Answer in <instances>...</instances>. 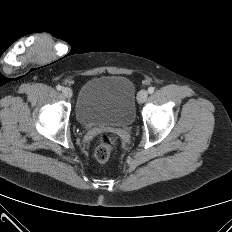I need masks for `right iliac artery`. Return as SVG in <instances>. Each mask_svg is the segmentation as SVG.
Here are the masks:
<instances>
[{
    "mask_svg": "<svg viewBox=\"0 0 232 232\" xmlns=\"http://www.w3.org/2000/svg\"><path fill=\"white\" fill-rule=\"evenodd\" d=\"M56 89H57L58 91H61V90H62V86L57 85V86H56Z\"/></svg>",
    "mask_w": 232,
    "mask_h": 232,
    "instance_id": "1",
    "label": "right iliac artery"
}]
</instances>
